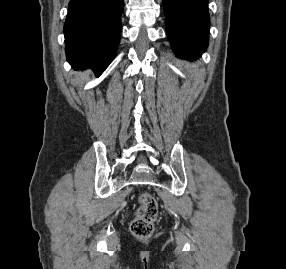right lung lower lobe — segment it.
I'll list each match as a JSON object with an SVG mask.
<instances>
[{
  "mask_svg": "<svg viewBox=\"0 0 286 269\" xmlns=\"http://www.w3.org/2000/svg\"><path fill=\"white\" fill-rule=\"evenodd\" d=\"M123 0H70L64 25L67 61L102 73L120 41Z\"/></svg>",
  "mask_w": 286,
  "mask_h": 269,
  "instance_id": "1",
  "label": "right lung lower lobe"
}]
</instances>
